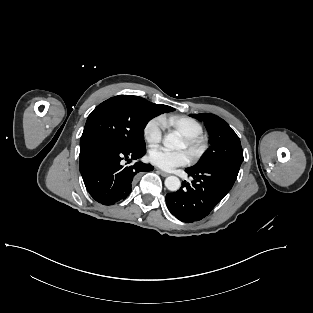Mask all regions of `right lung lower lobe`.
Segmentation results:
<instances>
[{"label":"right lung lower lobe","instance_id":"right-lung-lower-lobe-1","mask_svg":"<svg viewBox=\"0 0 313 313\" xmlns=\"http://www.w3.org/2000/svg\"><path fill=\"white\" fill-rule=\"evenodd\" d=\"M146 146L129 148L103 138L80 144L79 168L89 194L103 205H112L125 199L140 172L153 170L151 164L136 162L125 166V161L141 158Z\"/></svg>","mask_w":313,"mask_h":313}]
</instances>
